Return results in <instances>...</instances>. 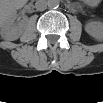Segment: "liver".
<instances>
[{
  "label": "liver",
  "mask_w": 103,
  "mask_h": 103,
  "mask_svg": "<svg viewBox=\"0 0 103 103\" xmlns=\"http://www.w3.org/2000/svg\"><path fill=\"white\" fill-rule=\"evenodd\" d=\"M25 4V1L20 0H11V1H5L3 3L2 11L6 14H11L15 12L17 9L23 7Z\"/></svg>",
  "instance_id": "obj_1"
}]
</instances>
